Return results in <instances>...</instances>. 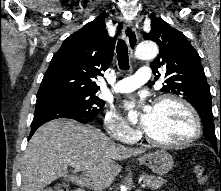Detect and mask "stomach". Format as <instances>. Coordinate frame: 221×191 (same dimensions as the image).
<instances>
[{
	"label": "stomach",
	"instance_id": "1",
	"mask_svg": "<svg viewBox=\"0 0 221 191\" xmlns=\"http://www.w3.org/2000/svg\"><path fill=\"white\" fill-rule=\"evenodd\" d=\"M138 161L161 176L167 174L174 165L172 156L165 150H156L144 154L138 158Z\"/></svg>",
	"mask_w": 221,
	"mask_h": 191
}]
</instances>
